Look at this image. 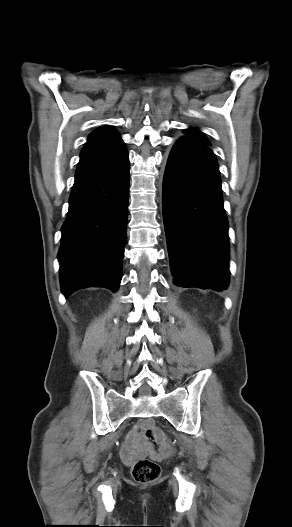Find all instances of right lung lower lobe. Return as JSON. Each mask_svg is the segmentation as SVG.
Instances as JSON below:
<instances>
[{
    "instance_id": "obj_1",
    "label": "right lung lower lobe",
    "mask_w": 292,
    "mask_h": 527,
    "mask_svg": "<svg viewBox=\"0 0 292 527\" xmlns=\"http://www.w3.org/2000/svg\"><path fill=\"white\" fill-rule=\"evenodd\" d=\"M129 159L122 140L85 145L58 253L65 297L86 287L117 291L127 234Z\"/></svg>"
}]
</instances>
